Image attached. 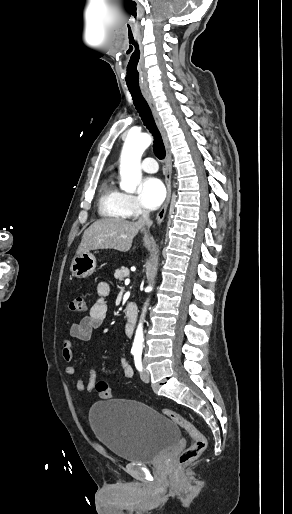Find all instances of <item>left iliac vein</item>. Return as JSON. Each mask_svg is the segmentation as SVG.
Listing matches in <instances>:
<instances>
[{
  "label": "left iliac vein",
  "mask_w": 292,
  "mask_h": 514,
  "mask_svg": "<svg viewBox=\"0 0 292 514\" xmlns=\"http://www.w3.org/2000/svg\"><path fill=\"white\" fill-rule=\"evenodd\" d=\"M140 376L143 382L148 383L150 381V374L147 369L144 368Z\"/></svg>",
  "instance_id": "1"
}]
</instances>
